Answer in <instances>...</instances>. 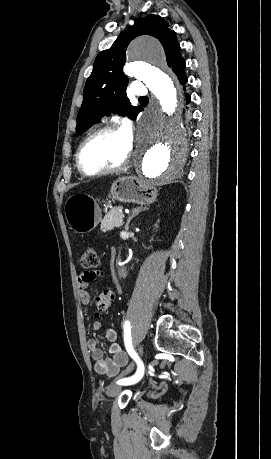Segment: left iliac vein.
<instances>
[{"label": "left iliac vein", "mask_w": 271, "mask_h": 459, "mask_svg": "<svg viewBox=\"0 0 271 459\" xmlns=\"http://www.w3.org/2000/svg\"><path fill=\"white\" fill-rule=\"evenodd\" d=\"M137 355L142 358V355H143V346L141 344L138 345V348H137ZM134 367L133 364H130L128 369L122 374V376H124L125 374H129L131 372V369ZM121 391V385L120 384H115V383H112L111 385H109L108 389H107V395L109 397H115L119 392Z\"/></svg>", "instance_id": "4c4485c4"}]
</instances>
